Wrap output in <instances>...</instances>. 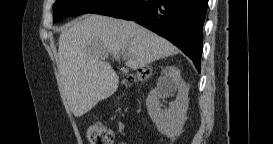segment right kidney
<instances>
[{
  "mask_svg": "<svg viewBox=\"0 0 273 144\" xmlns=\"http://www.w3.org/2000/svg\"><path fill=\"white\" fill-rule=\"evenodd\" d=\"M188 87L182 80L180 71L175 67H168L160 77L155 88L147 98L148 113L156 124L158 131L173 139L182 132L187 119ZM178 91L174 102L169 103L168 109H161V98Z\"/></svg>",
  "mask_w": 273,
  "mask_h": 144,
  "instance_id": "ca27d5eb",
  "label": "right kidney"
}]
</instances>
